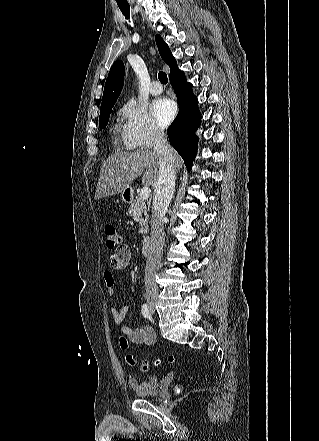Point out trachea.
Returning a JSON list of instances; mask_svg holds the SVG:
<instances>
[{
	"label": "trachea",
	"instance_id": "trachea-1",
	"mask_svg": "<svg viewBox=\"0 0 319 441\" xmlns=\"http://www.w3.org/2000/svg\"><path fill=\"white\" fill-rule=\"evenodd\" d=\"M119 8H120L121 12L123 13V15L125 16V18L129 19L130 18V15H129L130 7L129 6L119 5ZM158 78H159V81L162 84H167L168 83L167 74L165 72L160 71L159 74H158Z\"/></svg>",
	"mask_w": 319,
	"mask_h": 441
}]
</instances>
